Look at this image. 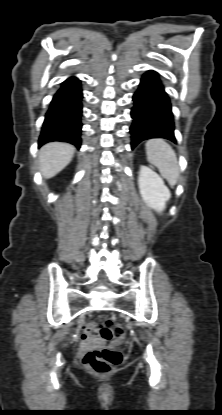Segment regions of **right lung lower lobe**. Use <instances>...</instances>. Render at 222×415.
Here are the masks:
<instances>
[{
	"label": "right lung lower lobe",
	"instance_id": "1",
	"mask_svg": "<svg viewBox=\"0 0 222 415\" xmlns=\"http://www.w3.org/2000/svg\"><path fill=\"white\" fill-rule=\"evenodd\" d=\"M82 98L78 78L71 76L61 84L46 113L39 146L50 141H64L80 148Z\"/></svg>",
	"mask_w": 222,
	"mask_h": 415
}]
</instances>
